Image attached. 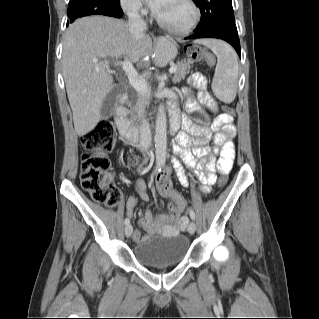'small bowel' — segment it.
<instances>
[{
	"label": "small bowel",
	"mask_w": 319,
	"mask_h": 319,
	"mask_svg": "<svg viewBox=\"0 0 319 319\" xmlns=\"http://www.w3.org/2000/svg\"><path fill=\"white\" fill-rule=\"evenodd\" d=\"M194 84L200 89L197 98L200 104L212 108L214 102L205 89V83L198 75L193 76ZM183 94L187 98L186 108L190 113H201L200 107L193 102L192 92L189 88H183ZM171 118H175L179 122V113L177 108L172 105L170 107ZM237 134L234 117L229 113L219 114L211 123L210 127H199L187 118L182 120V131L175 139L173 147L174 156L171 157L176 176L180 184L184 187L188 186V179L185 175L181 159L194 169L195 176L201 184L203 192H209L211 186L217 181L215 173L218 170L222 174H229L233 160L235 157L234 138ZM213 141L214 146L210 147L208 143ZM211 154H218V159H209L205 161L204 158ZM168 179L167 173L158 175L155 180V185L159 189V181ZM136 191L143 201L149 199L147 193V186L144 181H138L136 184ZM160 193L168 198L171 202H179L182 204V213L177 216L178 220L173 222L166 214L154 215L147 211L143 218L139 220V225L148 234H155L157 232H164L170 235L177 234L186 229L188 221V213L190 207L186 206L184 198L174 189L167 188L160 190ZM136 198L130 196L126 203V213L129 216L134 214L136 206ZM133 238L136 243H140L144 238L138 230L133 232Z\"/></svg>",
	"instance_id": "small-bowel-1"
}]
</instances>
